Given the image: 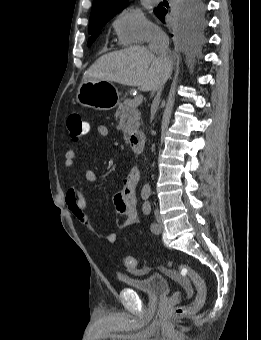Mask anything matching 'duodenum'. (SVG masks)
<instances>
[{
	"label": "duodenum",
	"instance_id": "410a0bca",
	"mask_svg": "<svg viewBox=\"0 0 261 340\" xmlns=\"http://www.w3.org/2000/svg\"><path fill=\"white\" fill-rule=\"evenodd\" d=\"M129 145L136 155H140L144 150L145 138L142 133H134L129 137Z\"/></svg>",
	"mask_w": 261,
	"mask_h": 340
}]
</instances>
